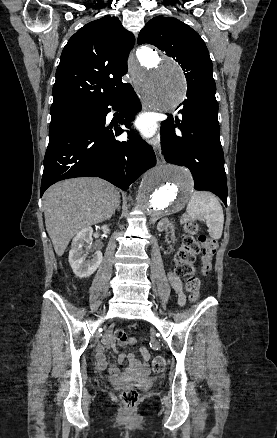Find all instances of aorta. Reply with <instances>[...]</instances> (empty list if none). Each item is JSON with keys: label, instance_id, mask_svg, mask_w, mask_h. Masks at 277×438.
<instances>
[{"label": "aorta", "instance_id": "obj_1", "mask_svg": "<svg viewBox=\"0 0 277 438\" xmlns=\"http://www.w3.org/2000/svg\"><path fill=\"white\" fill-rule=\"evenodd\" d=\"M139 65L133 70L136 87L153 109L168 111L185 97L186 83L180 66L150 48L138 52ZM193 190V179L184 168L170 164L148 171L138 191L139 211L150 222L182 210Z\"/></svg>", "mask_w": 277, "mask_h": 438}]
</instances>
